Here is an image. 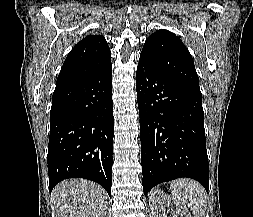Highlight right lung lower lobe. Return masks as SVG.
<instances>
[{
  "mask_svg": "<svg viewBox=\"0 0 253 217\" xmlns=\"http://www.w3.org/2000/svg\"><path fill=\"white\" fill-rule=\"evenodd\" d=\"M111 65L52 96L48 147L49 190L67 178L102 185L111 197L114 117Z\"/></svg>",
  "mask_w": 253,
  "mask_h": 217,
  "instance_id": "right-lung-lower-lobe-1",
  "label": "right lung lower lobe"
}]
</instances>
